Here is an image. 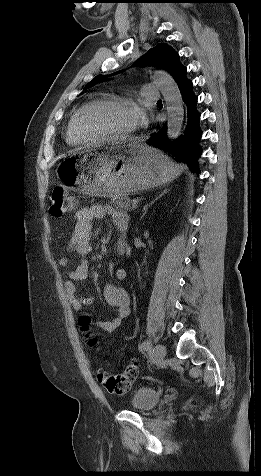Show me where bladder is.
I'll use <instances>...</instances> for the list:
<instances>
[{
  "label": "bladder",
  "mask_w": 261,
  "mask_h": 476,
  "mask_svg": "<svg viewBox=\"0 0 261 476\" xmlns=\"http://www.w3.org/2000/svg\"><path fill=\"white\" fill-rule=\"evenodd\" d=\"M161 398V394L148 387L138 388L130 400L131 407L139 412H147L157 406Z\"/></svg>",
  "instance_id": "1"
}]
</instances>
